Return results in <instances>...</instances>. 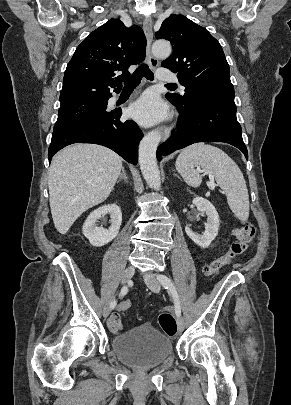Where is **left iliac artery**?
I'll return each instance as SVG.
<instances>
[{
  "mask_svg": "<svg viewBox=\"0 0 291 405\" xmlns=\"http://www.w3.org/2000/svg\"><path fill=\"white\" fill-rule=\"evenodd\" d=\"M157 279L159 280V282L165 289L170 291V293L174 299L176 315L180 316V314H181L180 301H179L178 294H177V291H176L173 283L167 276L162 275V274L157 275Z\"/></svg>",
  "mask_w": 291,
  "mask_h": 405,
  "instance_id": "left-iliac-artery-1",
  "label": "left iliac artery"
}]
</instances>
